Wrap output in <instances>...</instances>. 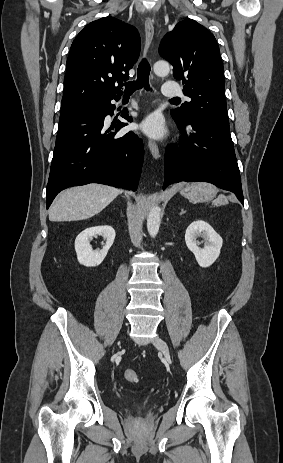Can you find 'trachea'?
Listing matches in <instances>:
<instances>
[{
  "label": "trachea",
  "instance_id": "obj_1",
  "mask_svg": "<svg viewBox=\"0 0 283 463\" xmlns=\"http://www.w3.org/2000/svg\"><path fill=\"white\" fill-rule=\"evenodd\" d=\"M149 74L150 66L146 60H143L137 70V79L135 81L125 83V94H132L136 90L142 89L143 87L146 90H149ZM172 100L176 101L179 99L173 98Z\"/></svg>",
  "mask_w": 283,
  "mask_h": 463
}]
</instances>
